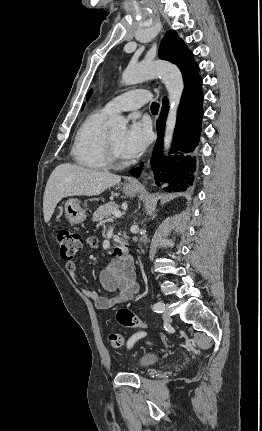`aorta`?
Segmentation results:
<instances>
[{
    "instance_id": "1",
    "label": "aorta",
    "mask_w": 262,
    "mask_h": 431,
    "mask_svg": "<svg viewBox=\"0 0 262 431\" xmlns=\"http://www.w3.org/2000/svg\"><path fill=\"white\" fill-rule=\"evenodd\" d=\"M153 77H160L164 83L169 99V112L164 133V150L171 146L177 111L184 90L183 77L175 65L168 62H142L129 65L122 74L124 85H133ZM110 130L115 133H123L126 130V120L123 116H117L109 121Z\"/></svg>"
}]
</instances>
